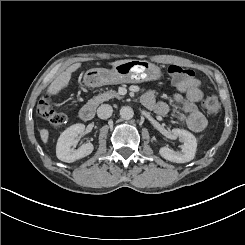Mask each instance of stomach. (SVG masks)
Wrapping results in <instances>:
<instances>
[{
	"label": "stomach",
	"mask_w": 245,
	"mask_h": 245,
	"mask_svg": "<svg viewBox=\"0 0 245 245\" xmlns=\"http://www.w3.org/2000/svg\"><path fill=\"white\" fill-rule=\"evenodd\" d=\"M161 76V68L153 63L144 60H128L114 65L111 70L89 69L84 75V83L89 87H99L108 84L158 80Z\"/></svg>",
	"instance_id": "0dacf381"
}]
</instances>
